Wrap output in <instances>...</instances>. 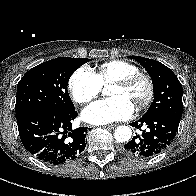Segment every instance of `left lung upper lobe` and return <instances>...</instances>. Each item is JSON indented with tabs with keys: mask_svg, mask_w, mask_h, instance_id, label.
<instances>
[{
	"mask_svg": "<svg viewBox=\"0 0 196 196\" xmlns=\"http://www.w3.org/2000/svg\"><path fill=\"white\" fill-rule=\"evenodd\" d=\"M139 62L153 82L154 101L145 116L163 114L177 121L182 116V85L173 71L164 64L140 56H128Z\"/></svg>",
	"mask_w": 196,
	"mask_h": 196,
	"instance_id": "5c2ea615",
	"label": "left lung upper lobe"
}]
</instances>
